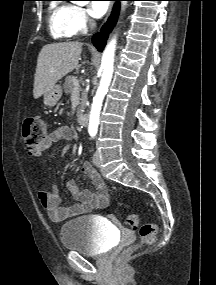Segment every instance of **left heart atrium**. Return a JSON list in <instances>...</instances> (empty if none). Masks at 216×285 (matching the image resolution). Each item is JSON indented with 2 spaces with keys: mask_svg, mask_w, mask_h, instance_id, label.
<instances>
[{
  "mask_svg": "<svg viewBox=\"0 0 216 285\" xmlns=\"http://www.w3.org/2000/svg\"><path fill=\"white\" fill-rule=\"evenodd\" d=\"M108 7V1H93L90 9L91 15L95 18H100L107 12Z\"/></svg>",
  "mask_w": 216,
  "mask_h": 285,
  "instance_id": "39dd6f15",
  "label": "left heart atrium"
}]
</instances>
